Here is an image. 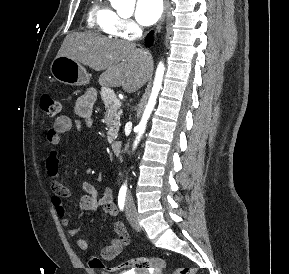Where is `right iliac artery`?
Wrapping results in <instances>:
<instances>
[{
  "instance_id": "right-iliac-artery-1",
  "label": "right iliac artery",
  "mask_w": 289,
  "mask_h": 274,
  "mask_svg": "<svg viewBox=\"0 0 289 274\" xmlns=\"http://www.w3.org/2000/svg\"><path fill=\"white\" fill-rule=\"evenodd\" d=\"M125 198H126V189L121 188L119 191V194H118V206H119L120 210L124 209Z\"/></svg>"
}]
</instances>
